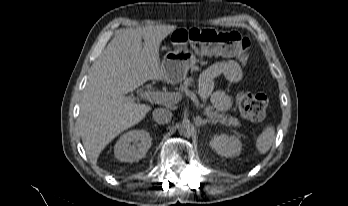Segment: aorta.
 <instances>
[{"label": "aorta", "instance_id": "aorta-1", "mask_svg": "<svg viewBox=\"0 0 348 206\" xmlns=\"http://www.w3.org/2000/svg\"><path fill=\"white\" fill-rule=\"evenodd\" d=\"M180 135L184 137H191L194 133V127L188 120H183L178 128Z\"/></svg>", "mask_w": 348, "mask_h": 206}]
</instances>
